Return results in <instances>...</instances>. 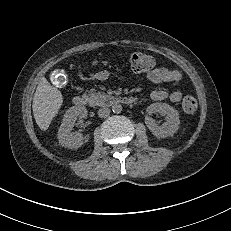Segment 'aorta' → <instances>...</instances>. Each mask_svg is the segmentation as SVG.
Returning <instances> with one entry per match:
<instances>
[{
	"label": "aorta",
	"instance_id": "aorta-1",
	"mask_svg": "<svg viewBox=\"0 0 231 231\" xmlns=\"http://www.w3.org/2000/svg\"><path fill=\"white\" fill-rule=\"evenodd\" d=\"M112 111H113L114 113H120V112L122 111V106H121V104L118 103V102L113 103V104H112Z\"/></svg>",
	"mask_w": 231,
	"mask_h": 231
}]
</instances>
